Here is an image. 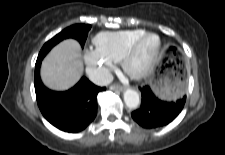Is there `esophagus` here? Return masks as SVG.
Returning a JSON list of instances; mask_svg holds the SVG:
<instances>
[{
  "label": "esophagus",
  "instance_id": "34e87169",
  "mask_svg": "<svg viewBox=\"0 0 225 155\" xmlns=\"http://www.w3.org/2000/svg\"><path fill=\"white\" fill-rule=\"evenodd\" d=\"M110 89L111 90H118V91H124L125 90V88L123 86H121V85H112L110 87Z\"/></svg>",
  "mask_w": 225,
  "mask_h": 155
}]
</instances>
